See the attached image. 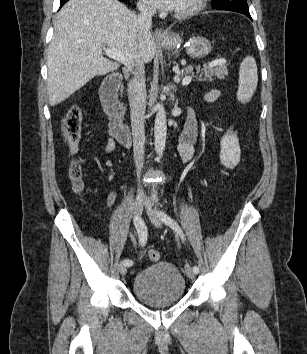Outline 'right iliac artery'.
Instances as JSON below:
<instances>
[{
  "mask_svg": "<svg viewBox=\"0 0 307 354\" xmlns=\"http://www.w3.org/2000/svg\"><path fill=\"white\" fill-rule=\"evenodd\" d=\"M134 224L137 229L138 237L141 246H144L147 241V229L144 224V222L140 218H134ZM123 263L127 266L130 267L133 265V261L129 259H125Z\"/></svg>",
  "mask_w": 307,
  "mask_h": 354,
  "instance_id": "right-iliac-artery-1",
  "label": "right iliac artery"
}]
</instances>
